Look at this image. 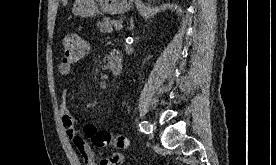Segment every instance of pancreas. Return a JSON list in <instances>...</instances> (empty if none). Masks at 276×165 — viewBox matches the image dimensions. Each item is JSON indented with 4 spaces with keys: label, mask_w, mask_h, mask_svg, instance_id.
<instances>
[{
    "label": "pancreas",
    "mask_w": 276,
    "mask_h": 165,
    "mask_svg": "<svg viewBox=\"0 0 276 165\" xmlns=\"http://www.w3.org/2000/svg\"><path fill=\"white\" fill-rule=\"evenodd\" d=\"M113 21L108 17H104L102 22L97 23V27L102 33H112L113 32Z\"/></svg>",
    "instance_id": "obj_1"
}]
</instances>
